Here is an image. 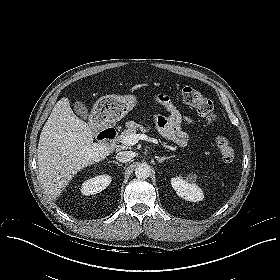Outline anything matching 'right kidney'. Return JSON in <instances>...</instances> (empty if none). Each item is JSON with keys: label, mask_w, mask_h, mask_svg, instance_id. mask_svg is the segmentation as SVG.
<instances>
[{"label": "right kidney", "mask_w": 280, "mask_h": 280, "mask_svg": "<svg viewBox=\"0 0 280 280\" xmlns=\"http://www.w3.org/2000/svg\"><path fill=\"white\" fill-rule=\"evenodd\" d=\"M111 183V176L99 175L84 181L81 185V193L83 195H93L106 189Z\"/></svg>", "instance_id": "1"}]
</instances>
